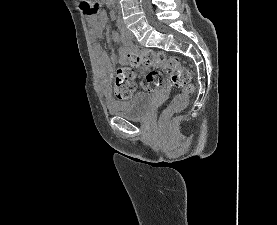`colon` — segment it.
Listing matches in <instances>:
<instances>
[{
  "instance_id": "colon-1",
  "label": "colon",
  "mask_w": 277,
  "mask_h": 225,
  "mask_svg": "<svg viewBox=\"0 0 277 225\" xmlns=\"http://www.w3.org/2000/svg\"><path fill=\"white\" fill-rule=\"evenodd\" d=\"M81 8L85 14L95 15L99 12V4L96 0H82ZM115 74V97L119 101L130 99L135 90V74L133 67H149L152 70L146 75L143 84L148 91L159 90L165 82V74L170 76L172 84L180 89L161 116V124L164 127L167 119L174 113L182 111L188 103L194 88L190 83V73L184 67L177 56L152 49H142L128 54Z\"/></svg>"
}]
</instances>
